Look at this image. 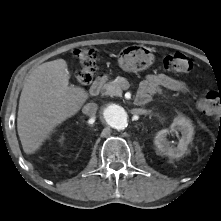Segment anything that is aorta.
<instances>
[{"label":"aorta","instance_id":"762f6f07","mask_svg":"<svg viewBox=\"0 0 221 221\" xmlns=\"http://www.w3.org/2000/svg\"><path fill=\"white\" fill-rule=\"evenodd\" d=\"M127 112L117 104L108 105L103 111V118L107 124L117 130H123L127 127Z\"/></svg>","mask_w":221,"mask_h":221}]
</instances>
